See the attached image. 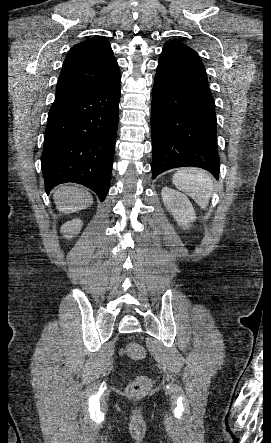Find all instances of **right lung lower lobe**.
<instances>
[{
    "label": "right lung lower lobe",
    "mask_w": 271,
    "mask_h": 443,
    "mask_svg": "<svg viewBox=\"0 0 271 443\" xmlns=\"http://www.w3.org/2000/svg\"><path fill=\"white\" fill-rule=\"evenodd\" d=\"M121 78L58 94L48 114L41 156L47 194L65 182L108 193L117 134Z\"/></svg>",
    "instance_id": "1"
}]
</instances>
